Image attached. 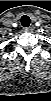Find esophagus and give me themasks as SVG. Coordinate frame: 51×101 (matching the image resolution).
Wrapping results in <instances>:
<instances>
[{
	"label": "esophagus",
	"instance_id": "34e87169",
	"mask_svg": "<svg viewBox=\"0 0 51 101\" xmlns=\"http://www.w3.org/2000/svg\"><path fill=\"white\" fill-rule=\"evenodd\" d=\"M32 30H33L32 27H24V28H23V31H24V32H30V31H32Z\"/></svg>",
	"mask_w": 51,
	"mask_h": 101
}]
</instances>
